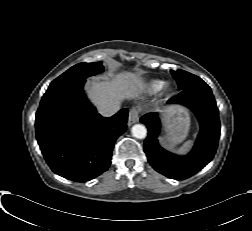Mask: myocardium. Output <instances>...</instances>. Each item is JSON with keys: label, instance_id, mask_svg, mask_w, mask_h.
I'll use <instances>...</instances> for the list:
<instances>
[{"label": "myocardium", "instance_id": "f54148a6", "mask_svg": "<svg viewBox=\"0 0 252 231\" xmlns=\"http://www.w3.org/2000/svg\"><path fill=\"white\" fill-rule=\"evenodd\" d=\"M162 89H163V92L164 93H167L170 89V86L168 83H164L163 86H162Z\"/></svg>", "mask_w": 252, "mask_h": 231}]
</instances>
